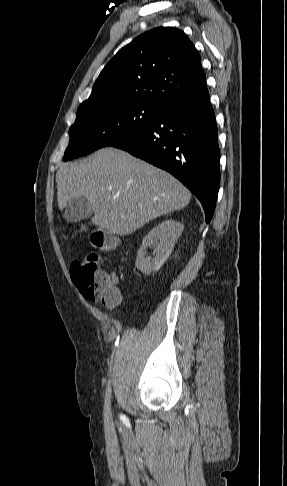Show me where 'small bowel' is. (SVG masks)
I'll use <instances>...</instances> for the list:
<instances>
[{
    "instance_id": "c3829d8e",
    "label": "small bowel",
    "mask_w": 287,
    "mask_h": 486,
    "mask_svg": "<svg viewBox=\"0 0 287 486\" xmlns=\"http://www.w3.org/2000/svg\"><path fill=\"white\" fill-rule=\"evenodd\" d=\"M111 276H112V278H113V281H114L115 285L118 287L119 291L122 293L121 288H120V287H119V285H118V279H117V276H116V275H114V274H113V275H111Z\"/></svg>"
}]
</instances>
